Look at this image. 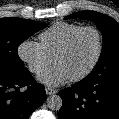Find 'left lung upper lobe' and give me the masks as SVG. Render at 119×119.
Wrapping results in <instances>:
<instances>
[{
    "label": "left lung upper lobe",
    "instance_id": "left-lung-upper-lobe-1",
    "mask_svg": "<svg viewBox=\"0 0 119 119\" xmlns=\"http://www.w3.org/2000/svg\"><path fill=\"white\" fill-rule=\"evenodd\" d=\"M65 18L91 20L102 33V52L98 63L88 76H110L119 73V24L113 18L95 11H81Z\"/></svg>",
    "mask_w": 119,
    "mask_h": 119
}]
</instances>
